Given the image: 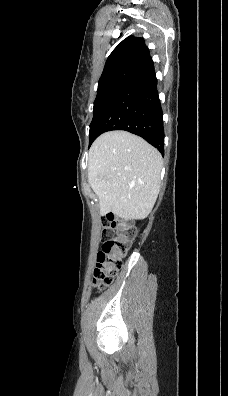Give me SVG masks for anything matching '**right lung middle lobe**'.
Returning <instances> with one entry per match:
<instances>
[{
  "label": "right lung middle lobe",
  "mask_w": 228,
  "mask_h": 396,
  "mask_svg": "<svg viewBox=\"0 0 228 396\" xmlns=\"http://www.w3.org/2000/svg\"><path fill=\"white\" fill-rule=\"evenodd\" d=\"M126 86L125 84H108L98 88L93 108V119L90 124V139L96 133L95 126L100 116Z\"/></svg>",
  "instance_id": "right-lung-middle-lobe-1"
}]
</instances>
